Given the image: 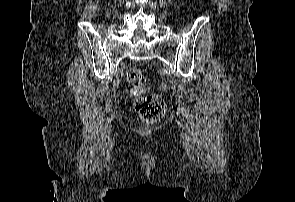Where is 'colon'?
Returning <instances> with one entry per match:
<instances>
[{"label":"colon","instance_id":"5ec220e1","mask_svg":"<svg viewBox=\"0 0 295 202\" xmlns=\"http://www.w3.org/2000/svg\"><path fill=\"white\" fill-rule=\"evenodd\" d=\"M127 79L135 88H142L145 85V77L137 68L128 70ZM134 108L145 123H153L162 118L166 104L159 95H139L134 100Z\"/></svg>","mask_w":295,"mask_h":202}]
</instances>
